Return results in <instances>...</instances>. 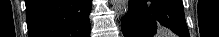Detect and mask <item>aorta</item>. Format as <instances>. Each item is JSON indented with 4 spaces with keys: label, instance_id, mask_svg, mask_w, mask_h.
Returning a JSON list of instances; mask_svg holds the SVG:
<instances>
[{
    "label": "aorta",
    "instance_id": "aorta-1",
    "mask_svg": "<svg viewBox=\"0 0 219 37\" xmlns=\"http://www.w3.org/2000/svg\"><path fill=\"white\" fill-rule=\"evenodd\" d=\"M113 9L119 14H123L128 10L129 1L128 0H111Z\"/></svg>",
    "mask_w": 219,
    "mask_h": 37
}]
</instances>
